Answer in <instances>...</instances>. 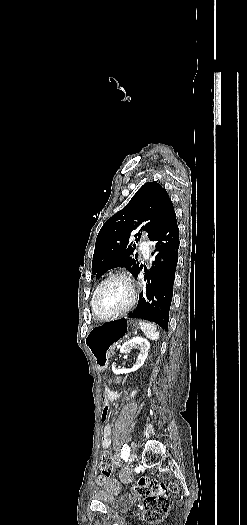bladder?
Returning <instances> with one entry per match:
<instances>
[{
    "mask_svg": "<svg viewBox=\"0 0 247 525\" xmlns=\"http://www.w3.org/2000/svg\"><path fill=\"white\" fill-rule=\"evenodd\" d=\"M105 504L107 505V509H115L118 512H124L136 506L137 500L135 497H131L127 494H119L115 497H109Z\"/></svg>",
    "mask_w": 247,
    "mask_h": 525,
    "instance_id": "bladder-1",
    "label": "bladder"
}]
</instances>
